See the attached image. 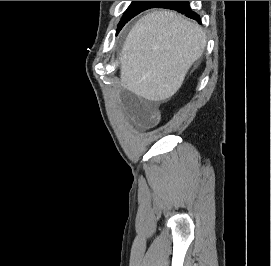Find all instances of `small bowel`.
Here are the masks:
<instances>
[{
  "mask_svg": "<svg viewBox=\"0 0 271 266\" xmlns=\"http://www.w3.org/2000/svg\"><path fill=\"white\" fill-rule=\"evenodd\" d=\"M124 76H130L125 71ZM122 101L125 108L140 124L149 126L154 124L159 115V104L155 101H142L132 94H123Z\"/></svg>",
  "mask_w": 271,
  "mask_h": 266,
  "instance_id": "1",
  "label": "small bowel"
}]
</instances>
